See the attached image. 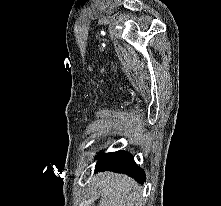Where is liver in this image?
I'll use <instances>...</instances> for the list:
<instances>
[{"mask_svg":"<svg viewBox=\"0 0 221 206\" xmlns=\"http://www.w3.org/2000/svg\"><path fill=\"white\" fill-rule=\"evenodd\" d=\"M93 188L101 194L99 206H135L138 193H132L135 181L126 175L104 172L93 178Z\"/></svg>","mask_w":221,"mask_h":206,"instance_id":"1","label":"liver"}]
</instances>
